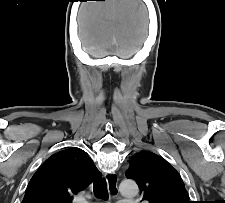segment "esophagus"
Listing matches in <instances>:
<instances>
[{"label": "esophagus", "instance_id": "obj_1", "mask_svg": "<svg viewBox=\"0 0 225 203\" xmlns=\"http://www.w3.org/2000/svg\"><path fill=\"white\" fill-rule=\"evenodd\" d=\"M106 181L108 184V187L110 189V192L113 195H118V176L116 173H109L106 175Z\"/></svg>", "mask_w": 225, "mask_h": 203}]
</instances>
